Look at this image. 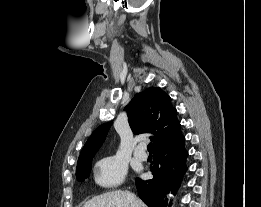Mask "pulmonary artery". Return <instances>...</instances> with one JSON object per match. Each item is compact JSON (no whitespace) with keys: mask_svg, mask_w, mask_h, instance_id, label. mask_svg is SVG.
Returning a JSON list of instances; mask_svg holds the SVG:
<instances>
[{"mask_svg":"<svg viewBox=\"0 0 261 207\" xmlns=\"http://www.w3.org/2000/svg\"><path fill=\"white\" fill-rule=\"evenodd\" d=\"M135 156L140 160L147 159V153L145 152V144H139L135 149Z\"/></svg>","mask_w":261,"mask_h":207,"instance_id":"1","label":"pulmonary artery"}]
</instances>
